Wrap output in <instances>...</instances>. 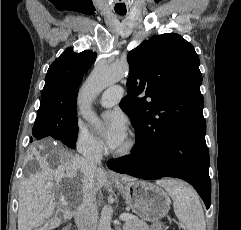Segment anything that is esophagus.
Listing matches in <instances>:
<instances>
[{
	"mask_svg": "<svg viewBox=\"0 0 241 230\" xmlns=\"http://www.w3.org/2000/svg\"><path fill=\"white\" fill-rule=\"evenodd\" d=\"M109 174H110V176H114L115 175V173L111 172V171H109Z\"/></svg>",
	"mask_w": 241,
	"mask_h": 230,
	"instance_id": "1",
	"label": "esophagus"
}]
</instances>
